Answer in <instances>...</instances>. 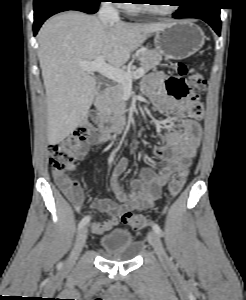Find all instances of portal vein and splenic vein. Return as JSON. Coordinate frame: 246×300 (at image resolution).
<instances>
[{"instance_id": "portal-vein-and-splenic-vein-1", "label": "portal vein and splenic vein", "mask_w": 246, "mask_h": 300, "mask_svg": "<svg viewBox=\"0 0 246 300\" xmlns=\"http://www.w3.org/2000/svg\"><path fill=\"white\" fill-rule=\"evenodd\" d=\"M80 66L87 73L98 72L101 75L125 86L132 85L133 79H138L144 75V70L142 68L133 72H126L105 63L104 57H99L92 62H80Z\"/></svg>"}]
</instances>
